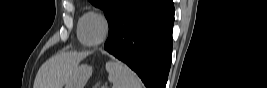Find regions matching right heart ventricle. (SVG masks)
Masks as SVG:
<instances>
[{
	"mask_svg": "<svg viewBox=\"0 0 267 88\" xmlns=\"http://www.w3.org/2000/svg\"><path fill=\"white\" fill-rule=\"evenodd\" d=\"M89 13H85L83 14L79 20H78V23H77V37L79 39V41L84 44V42L82 41V36H81V29H82V26H83V23H84V20L86 18V16L88 15Z\"/></svg>",
	"mask_w": 267,
	"mask_h": 88,
	"instance_id": "right-heart-ventricle-1",
	"label": "right heart ventricle"
}]
</instances>
